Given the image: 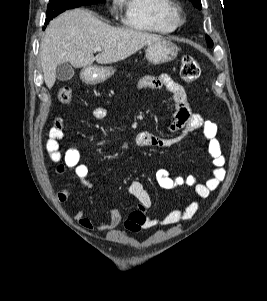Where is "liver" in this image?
Listing matches in <instances>:
<instances>
[{"label":"liver","mask_w":267,"mask_h":301,"mask_svg":"<svg viewBox=\"0 0 267 301\" xmlns=\"http://www.w3.org/2000/svg\"><path fill=\"white\" fill-rule=\"evenodd\" d=\"M160 39L157 34L112 27L82 8L66 11L50 22L41 41L39 56L45 84L53 87L61 63L85 69L94 61L116 63ZM95 47L101 51L94 57Z\"/></svg>","instance_id":"liver-1"}]
</instances>
